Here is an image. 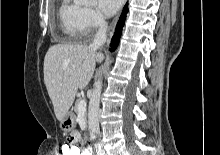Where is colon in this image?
Listing matches in <instances>:
<instances>
[{
    "label": "colon",
    "mask_w": 220,
    "mask_h": 155,
    "mask_svg": "<svg viewBox=\"0 0 220 155\" xmlns=\"http://www.w3.org/2000/svg\"><path fill=\"white\" fill-rule=\"evenodd\" d=\"M70 146H62V155H81V147L76 144H68Z\"/></svg>",
    "instance_id": "5ec220e1"
}]
</instances>
